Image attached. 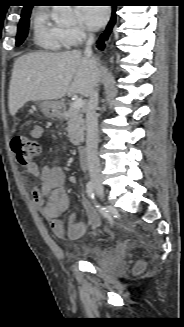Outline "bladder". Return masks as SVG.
Returning <instances> with one entry per match:
<instances>
[{"label": "bladder", "instance_id": "obj_1", "mask_svg": "<svg viewBox=\"0 0 184 327\" xmlns=\"http://www.w3.org/2000/svg\"><path fill=\"white\" fill-rule=\"evenodd\" d=\"M83 254L85 257L92 260L108 259L112 262L114 268L117 269H121L124 267V261L122 259L116 258L113 255V252L101 245L95 244L88 246L83 250Z\"/></svg>", "mask_w": 184, "mask_h": 327}]
</instances>
